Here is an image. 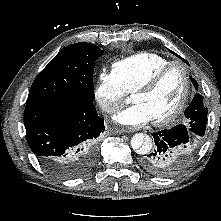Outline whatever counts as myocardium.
I'll return each mask as SVG.
<instances>
[{"label": "myocardium", "instance_id": "f54148a6", "mask_svg": "<svg viewBox=\"0 0 221 221\" xmlns=\"http://www.w3.org/2000/svg\"><path fill=\"white\" fill-rule=\"evenodd\" d=\"M175 66L179 67L183 73L184 90H183V93H182L179 103L177 104V106L174 108L173 111H171L168 115H166L160 119L153 120L154 124H156L158 126L167 125V124L173 122L174 120H176L179 117V115L183 112L185 106L187 105V102L190 97V92H191V79H190V74H189L187 66L183 62L178 61V60L169 61L168 63H166L165 65H163L159 69H157L150 76L149 79H147L143 84H141L133 92V95L138 94V93L151 92L152 90H154L158 86V84L163 79L165 74L172 67H175Z\"/></svg>", "mask_w": 221, "mask_h": 221}]
</instances>
